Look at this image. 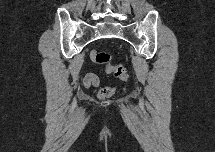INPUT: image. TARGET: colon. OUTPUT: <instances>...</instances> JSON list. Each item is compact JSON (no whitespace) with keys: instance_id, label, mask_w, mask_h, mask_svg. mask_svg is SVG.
<instances>
[{"instance_id":"1","label":"colon","mask_w":215,"mask_h":152,"mask_svg":"<svg viewBox=\"0 0 215 152\" xmlns=\"http://www.w3.org/2000/svg\"><path fill=\"white\" fill-rule=\"evenodd\" d=\"M90 58L99 65L105 66L106 72L112 74L114 77L120 79L121 81H126L128 79V74L123 65L112 64L111 54L108 52H101L97 50H91ZM115 92V87L113 86H104L98 92V97L100 99H107L111 97Z\"/></svg>"}]
</instances>
